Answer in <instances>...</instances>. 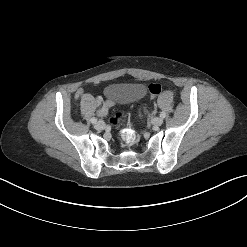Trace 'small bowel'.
I'll list each match as a JSON object with an SVG mask.
<instances>
[{
  "instance_id": "small-bowel-1",
  "label": "small bowel",
  "mask_w": 247,
  "mask_h": 247,
  "mask_svg": "<svg viewBox=\"0 0 247 247\" xmlns=\"http://www.w3.org/2000/svg\"><path fill=\"white\" fill-rule=\"evenodd\" d=\"M83 95V91L82 90H79L77 93H76V99L80 98L81 96Z\"/></svg>"
}]
</instances>
